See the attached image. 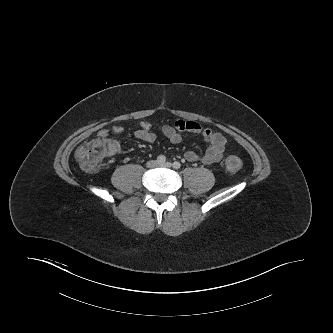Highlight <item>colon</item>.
I'll return each instance as SVG.
<instances>
[{
    "label": "colon",
    "instance_id": "5ec220e1",
    "mask_svg": "<svg viewBox=\"0 0 333 333\" xmlns=\"http://www.w3.org/2000/svg\"><path fill=\"white\" fill-rule=\"evenodd\" d=\"M111 154V148L106 140L96 138L81 145L76 151L79 165L86 171H97L101 163ZM225 166L229 172H237L241 166V159L236 155H229L225 159Z\"/></svg>",
    "mask_w": 333,
    "mask_h": 333
}]
</instances>
